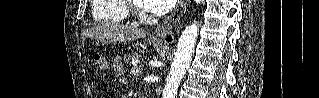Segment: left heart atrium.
Listing matches in <instances>:
<instances>
[{
	"instance_id": "1",
	"label": "left heart atrium",
	"mask_w": 319,
	"mask_h": 98,
	"mask_svg": "<svg viewBox=\"0 0 319 98\" xmlns=\"http://www.w3.org/2000/svg\"><path fill=\"white\" fill-rule=\"evenodd\" d=\"M175 0H166V1H160V0H143L142 3L144 7L150 11L152 14L155 15H163L169 12L174 4Z\"/></svg>"
}]
</instances>
